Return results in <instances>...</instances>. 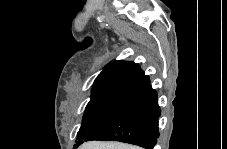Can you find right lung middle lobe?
<instances>
[{
	"instance_id": "right-lung-middle-lobe-1",
	"label": "right lung middle lobe",
	"mask_w": 227,
	"mask_h": 149,
	"mask_svg": "<svg viewBox=\"0 0 227 149\" xmlns=\"http://www.w3.org/2000/svg\"><path fill=\"white\" fill-rule=\"evenodd\" d=\"M138 91L134 88L113 86L92 92L77 134L76 146L81 145L92 131L117 116Z\"/></svg>"
}]
</instances>
